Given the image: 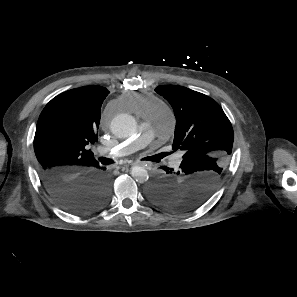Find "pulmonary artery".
<instances>
[{"label": "pulmonary artery", "mask_w": 297, "mask_h": 297, "mask_svg": "<svg viewBox=\"0 0 297 297\" xmlns=\"http://www.w3.org/2000/svg\"><path fill=\"white\" fill-rule=\"evenodd\" d=\"M165 123L169 126L173 123V114L168 108H163L158 117L143 123L135 135L111 150L103 149V152L125 155L143 149L150 144L156 135L164 131Z\"/></svg>", "instance_id": "obj_1"}]
</instances>
